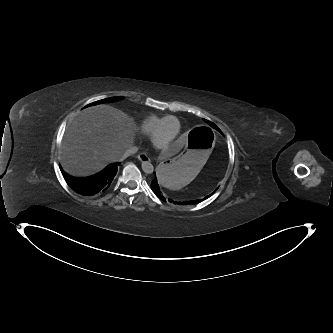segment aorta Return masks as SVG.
<instances>
[{
    "instance_id": "762f6f07",
    "label": "aorta",
    "mask_w": 333,
    "mask_h": 333,
    "mask_svg": "<svg viewBox=\"0 0 333 333\" xmlns=\"http://www.w3.org/2000/svg\"><path fill=\"white\" fill-rule=\"evenodd\" d=\"M142 170L147 174H151L154 171V167L150 162L146 161L142 163Z\"/></svg>"
}]
</instances>
